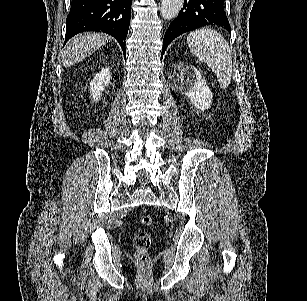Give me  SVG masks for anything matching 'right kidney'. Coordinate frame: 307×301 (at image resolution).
Returning a JSON list of instances; mask_svg holds the SVG:
<instances>
[{"mask_svg": "<svg viewBox=\"0 0 307 301\" xmlns=\"http://www.w3.org/2000/svg\"><path fill=\"white\" fill-rule=\"evenodd\" d=\"M111 78L110 68H102L100 72H96L95 76L90 80L89 90L91 102L100 100L102 92L105 90L106 86H109Z\"/></svg>", "mask_w": 307, "mask_h": 301, "instance_id": "right-kidney-1", "label": "right kidney"}]
</instances>
